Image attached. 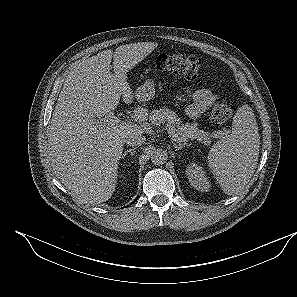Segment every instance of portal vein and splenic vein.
Instances as JSON below:
<instances>
[{"instance_id": "1", "label": "portal vein and splenic vein", "mask_w": 297, "mask_h": 297, "mask_svg": "<svg viewBox=\"0 0 297 297\" xmlns=\"http://www.w3.org/2000/svg\"><path fill=\"white\" fill-rule=\"evenodd\" d=\"M102 120L106 123L113 124V125L118 124L121 121L119 117L115 116L112 113L105 116ZM167 131L173 139L177 141H182V139L175 133L173 129L168 128ZM221 133L222 132H217V134H221Z\"/></svg>"}]
</instances>
